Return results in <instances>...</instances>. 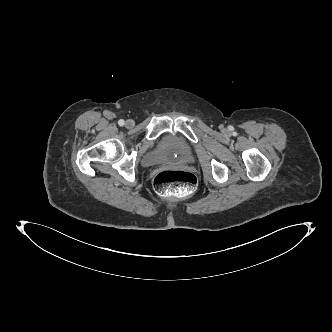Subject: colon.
Returning <instances> with one entry per match:
<instances>
[{"mask_svg": "<svg viewBox=\"0 0 332 332\" xmlns=\"http://www.w3.org/2000/svg\"><path fill=\"white\" fill-rule=\"evenodd\" d=\"M155 190L163 195L184 196L195 191L197 180L194 174L182 170H163L153 180Z\"/></svg>", "mask_w": 332, "mask_h": 332, "instance_id": "1", "label": "colon"}]
</instances>
